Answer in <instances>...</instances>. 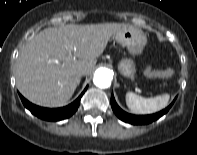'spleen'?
<instances>
[{
  "mask_svg": "<svg viewBox=\"0 0 197 155\" xmlns=\"http://www.w3.org/2000/svg\"><path fill=\"white\" fill-rule=\"evenodd\" d=\"M169 94H162L153 98H143L132 92L126 94L128 108L136 114H151L167 106Z\"/></svg>",
  "mask_w": 197,
  "mask_h": 155,
  "instance_id": "obj_1",
  "label": "spleen"
}]
</instances>
